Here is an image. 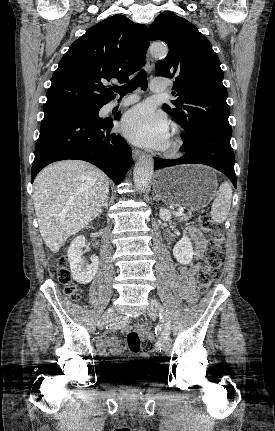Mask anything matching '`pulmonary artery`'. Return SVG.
<instances>
[{"label":"pulmonary artery","mask_w":275,"mask_h":431,"mask_svg":"<svg viewBox=\"0 0 275 431\" xmlns=\"http://www.w3.org/2000/svg\"><path fill=\"white\" fill-rule=\"evenodd\" d=\"M166 90V85L163 81L161 80H153L151 83V91L155 92V93H161L164 92ZM138 97L137 96H129L124 98L122 101L117 102V101H113L108 105L109 109H113L116 106H128L130 104H133L135 102L138 101Z\"/></svg>","instance_id":"pulmonary-artery-1"}]
</instances>
